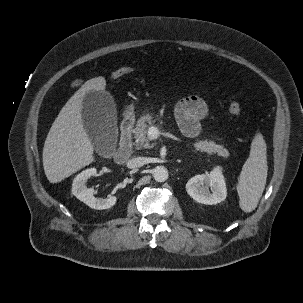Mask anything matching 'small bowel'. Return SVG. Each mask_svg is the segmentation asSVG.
<instances>
[{"label": "small bowel", "mask_w": 303, "mask_h": 303, "mask_svg": "<svg viewBox=\"0 0 303 303\" xmlns=\"http://www.w3.org/2000/svg\"><path fill=\"white\" fill-rule=\"evenodd\" d=\"M76 80L74 86L80 85ZM209 115V107L197 96L180 100L175 107V117L182 133L187 137H196L201 132V122Z\"/></svg>", "instance_id": "small-bowel-1"}]
</instances>
